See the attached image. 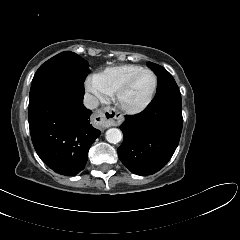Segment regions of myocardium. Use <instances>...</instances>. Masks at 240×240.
Wrapping results in <instances>:
<instances>
[{
  "mask_svg": "<svg viewBox=\"0 0 240 240\" xmlns=\"http://www.w3.org/2000/svg\"><path fill=\"white\" fill-rule=\"evenodd\" d=\"M151 73L154 77V87L153 90L149 96V98L140 106H136V107H130L127 106L123 103V96L124 94L129 90V88L132 86V84L134 83V81L143 73ZM158 85H159V79H158V75L156 74V72L152 69H148V68H143L142 70L138 71L137 73H135L134 75H132L125 83L122 84V86L117 90V92L115 93V98L117 103L119 104V106L127 113L129 114H139L144 112L153 102L154 97L156 95L157 89H158Z\"/></svg>",
  "mask_w": 240,
  "mask_h": 240,
  "instance_id": "obj_1",
  "label": "myocardium"
}]
</instances>
